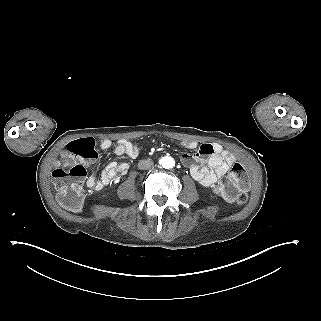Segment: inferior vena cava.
<instances>
[{
    "label": "inferior vena cava",
    "instance_id": "obj_1",
    "mask_svg": "<svg viewBox=\"0 0 321 321\" xmlns=\"http://www.w3.org/2000/svg\"><path fill=\"white\" fill-rule=\"evenodd\" d=\"M153 166H154V163L151 160H140L138 163V168L140 170L151 169Z\"/></svg>",
    "mask_w": 321,
    "mask_h": 321
}]
</instances>
